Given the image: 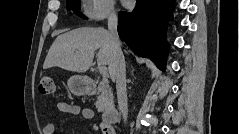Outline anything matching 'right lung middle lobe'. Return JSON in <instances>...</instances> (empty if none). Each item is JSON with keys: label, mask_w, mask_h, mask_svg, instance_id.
I'll list each match as a JSON object with an SVG mask.
<instances>
[{"label": "right lung middle lobe", "mask_w": 239, "mask_h": 134, "mask_svg": "<svg viewBox=\"0 0 239 134\" xmlns=\"http://www.w3.org/2000/svg\"><path fill=\"white\" fill-rule=\"evenodd\" d=\"M67 7L77 14L79 12V0H67ZM79 15L82 16L81 14Z\"/></svg>", "instance_id": "obj_1"}]
</instances>
